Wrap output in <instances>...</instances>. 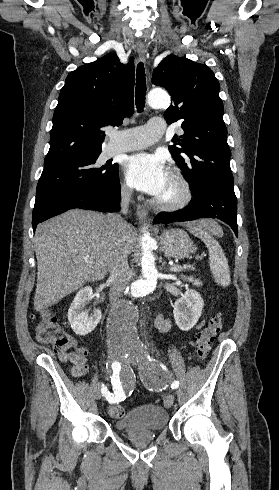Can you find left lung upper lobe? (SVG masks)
<instances>
[{
  "label": "left lung upper lobe",
  "mask_w": 279,
  "mask_h": 490,
  "mask_svg": "<svg viewBox=\"0 0 279 490\" xmlns=\"http://www.w3.org/2000/svg\"><path fill=\"white\" fill-rule=\"evenodd\" d=\"M152 83L173 97L164 113L167 122L183 121L184 134L172 139L180 147L169 146V150L191 191L205 180L233 185L224 107L213 71L205 64L169 55L154 70Z\"/></svg>",
  "instance_id": "left-lung-upper-lobe-1"
}]
</instances>
